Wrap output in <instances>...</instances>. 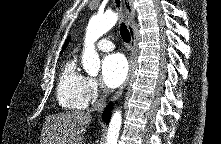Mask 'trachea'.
<instances>
[{
  "mask_svg": "<svg viewBox=\"0 0 221 144\" xmlns=\"http://www.w3.org/2000/svg\"><path fill=\"white\" fill-rule=\"evenodd\" d=\"M117 7L120 6V0H115ZM120 34L122 36V39L124 42L129 43L131 41V36L130 33L127 29V26L122 22L120 26Z\"/></svg>",
  "mask_w": 221,
  "mask_h": 144,
  "instance_id": "1",
  "label": "trachea"
}]
</instances>
